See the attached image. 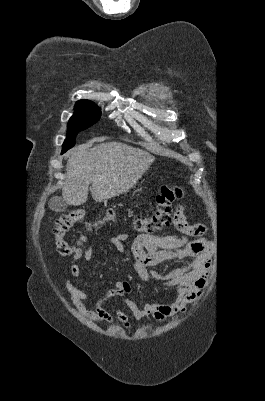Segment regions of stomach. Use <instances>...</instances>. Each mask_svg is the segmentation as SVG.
Here are the masks:
<instances>
[{
	"mask_svg": "<svg viewBox=\"0 0 265 401\" xmlns=\"http://www.w3.org/2000/svg\"><path fill=\"white\" fill-rule=\"evenodd\" d=\"M136 182H137V180H135L133 186H135ZM128 190H130V188H127L126 192H128Z\"/></svg>",
	"mask_w": 265,
	"mask_h": 401,
	"instance_id": "1",
	"label": "stomach"
}]
</instances>
